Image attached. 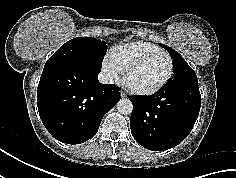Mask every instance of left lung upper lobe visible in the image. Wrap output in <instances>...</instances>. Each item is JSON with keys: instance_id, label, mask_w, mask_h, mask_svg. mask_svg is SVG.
I'll return each mask as SVG.
<instances>
[{"instance_id": "1", "label": "left lung upper lobe", "mask_w": 236, "mask_h": 178, "mask_svg": "<svg viewBox=\"0 0 236 178\" xmlns=\"http://www.w3.org/2000/svg\"><path fill=\"white\" fill-rule=\"evenodd\" d=\"M161 46L168 50L173 59V78L169 81L197 80L194 70L186 63L184 58L177 51L163 44H161Z\"/></svg>"}]
</instances>
